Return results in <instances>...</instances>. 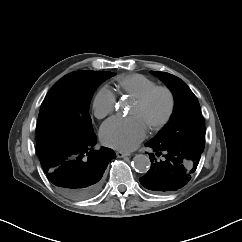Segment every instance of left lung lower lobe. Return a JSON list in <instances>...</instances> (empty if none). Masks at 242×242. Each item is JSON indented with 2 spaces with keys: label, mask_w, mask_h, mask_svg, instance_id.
I'll return each mask as SVG.
<instances>
[{
  "label": "left lung lower lobe",
  "mask_w": 242,
  "mask_h": 242,
  "mask_svg": "<svg viewBox=\"0 0 242 242\" xmlns=\"http://www.w3.org/2000/svg\"><path fill=\"white\" fill-rule=\"evenodd\" d=\"M145 146L151 147L150 170L139 180L141 184L155 192L178 190L188 183L195 172L201 152L189 147H171L152 142ZM156 156H161L160 160Z\"/></svg>",
  "instance_id": "0a47b994"
}]
</instances>
